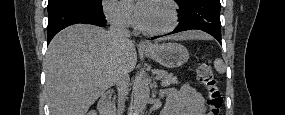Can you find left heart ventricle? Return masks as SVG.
Returning <instances> with one entry per match:
<instances>
[{
    "mask_svg": "<svg viewBox=\"0 0 285 115\" xmlns=\"http://www.w3.org/2000/svg\"><path fill=\"white\" fill-rule=\"evenodd\" d=\"M171 23L169 7L162 2H149L147 4L146 18L142 25L150 30L166 28Z\"/></svg>",
    "mask_w": 285,
    "mask_h": 115,
    "instance_id": "left-heart-ventricle-1",
    "label": "left heart ventricle"
}]
</instances>
